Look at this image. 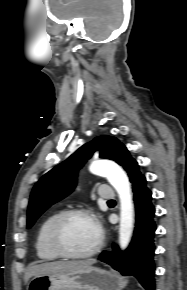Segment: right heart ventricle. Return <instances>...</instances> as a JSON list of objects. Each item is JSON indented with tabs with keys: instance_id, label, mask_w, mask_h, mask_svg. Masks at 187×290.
<instances>
[{
	"instance_id": "right-heart-ventricle-1",
	"label": "right heart ventricle",
	"mask_w": 187,
	"mask_h": 290,
	"mask_svg": "<svg viewBox=\"0 0 187 290\" xmlns=\"http://www.w3.org/2000/svg\"><path fill=\"white\" fill-rule=\"evenodd\" d=\"M62 213V211H56L45 218L41 223L37 232L35 241V250L37 256L43 261H54L60 256L57 255L51 248L49 241V232L54 220Z\"/></svg>"
}]
</instances>
